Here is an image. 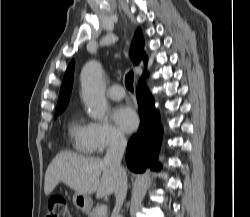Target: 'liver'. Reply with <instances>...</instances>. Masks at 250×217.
<instances>
[{
    "instance_id": "obj_1",
    "label": "liver",
    "mask_w": 250,
    "mask_h": 217,
    "mask_svg": "<svg viewBox=\"0 0 250 217\" xmlns=\"http://www.w3.org/2000/svg\"><path fill=\"white\" fill-rule=\"evenodd\" d=\"M59 183L79 194H93L97 198L115 192L116 180L110 168L100 158H86L70 152H60L49 164L44 183L48 196Z\"/></svg>"
}]
</instances>
